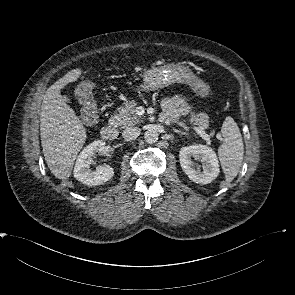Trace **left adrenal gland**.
I'll use <instances>...</instances> for the list:
<instances>
[{
  "mask_svg": "<svg viewBox=\"0 0 295 295\" xmlns=\"http://www.w3.org/2000/svg\"><path fill=\"white\" fill-rule=\"evenodd\" d=\"M173 131L176 132V133H178V134L188 135L187 132H182V131H180V130H178V129H175V128L173 129Z\"/></svg>",
  "mask_w": 295,
  "mask_h": 295,
  "instance_id": "left-adrenal-gland-1",
  "label": "left adrenal gland"
}]
</instances>
